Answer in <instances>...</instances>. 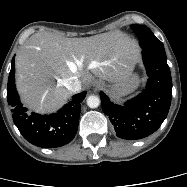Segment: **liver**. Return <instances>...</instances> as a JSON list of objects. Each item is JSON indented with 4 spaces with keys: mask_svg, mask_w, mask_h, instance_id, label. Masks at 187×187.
I'll return each instance as SVG.
<instances>
[{
    "mask_svg": "<svg viewBox=\"0 0 187 187\" xmlns=\"http://www.w3.org/2000/svg\"><path fill=\"white\" fill-rule=\"evenodd\" d=\"M137 60L136 44L121 33L65 38L39 32L17 54L16 87L25 106L50 113L72 95L66 88L68 78L76 76L83 87L91 84L93 75L118 83L133 71Z\"/></svg>",
    "mask_w": 187,
    "mask_h": 187,
    "instance_id": "1",
    "label": "liver"
}]
</instances>
